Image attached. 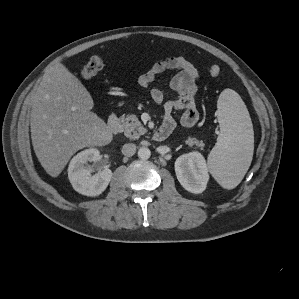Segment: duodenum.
Segmentation results:
<instances>
[{"mask_svg":"<svg viewBox=\"0 0 299 299\" xmlns=\"http://www.w3.org/2000/svg\"><path fill=\"white\" fill-rule=\"evenodd\" d=\"M108 129L114 135H117L120 133V130H121L120 129V121L115 114L111 115L108 119ZM169 135H170V131L167 128L160 127L159 129H157L154 132L153 139L155 141L160 142V141H164L165 139H167Z\"/></svg>","mask_w":299,"mask_h":299,"instance_id":"duodenum-1","label":"duodenum"}]
</instances>
